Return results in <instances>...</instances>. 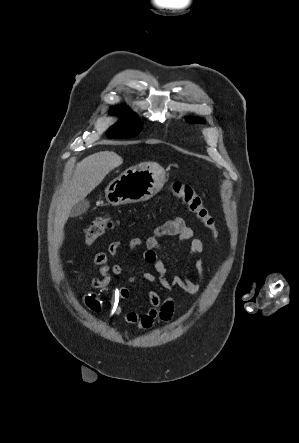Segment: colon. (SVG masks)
Listing matches in <instances>:
<instances>
[{
  "label": "colon",
  "mask_w": 299,
  "mask_h": 443,
  "mask_svg": "<svg viewBox=\"0 0 299 443\" xmlns=\"http://www.w3.org/2000/svg\"><path fill=\"white\" fill-rule=\"evenodd\" d=\"M171 191L173 196L182 200L200 222L212 232L214 238L217 239L216 221L194 186L182 181H175L171 186ZM113 226L114 223L108 215L96 217L84 230L85 243L87 245L93 244L105 231L113 228Z\"/></svg>",
  "instance_id": "5ec220e1"
}]
</instances>
